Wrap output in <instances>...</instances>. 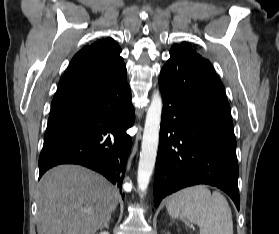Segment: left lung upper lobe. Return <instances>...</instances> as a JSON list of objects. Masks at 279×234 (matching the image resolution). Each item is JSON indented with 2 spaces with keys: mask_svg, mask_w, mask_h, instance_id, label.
<instances>
[{
  "mask_svg": "<svg viewBox=\"0 0 279 234\" xmlns=\"http://www.w3.org/2000/svg\"><path fill=\"white\" fill-rule=\"evenodd\" d=\"M173 47H187V48L193 50V49L191 48V45L186 44L185 42L181 43V45H174Z\"/></svg>",
  "mask_w": 279,
  "mask_h": 234,
  "instance_id": "5c2ea615",
  "label": "left lung upper lobe"
}]
</instances>
